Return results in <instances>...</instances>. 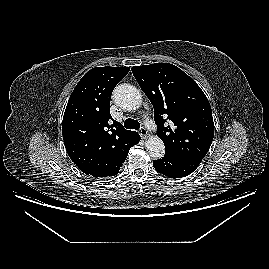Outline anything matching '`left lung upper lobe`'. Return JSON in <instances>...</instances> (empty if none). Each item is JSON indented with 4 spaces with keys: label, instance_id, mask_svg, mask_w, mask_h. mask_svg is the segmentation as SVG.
<instances>
[{
    "label": "left lung upper lobe",
    "instance_id": "left-lung-upper-lobe-1",
    "mask_svg": "<svg viewBox=\"0 0 269 269\" xmlns=\"http://www.w3.org/2000/svg\"><path fill=\"white\" fill-rule=\"evenodd\" d=\"M131 70L153 105L165 155L202 160L213 140L214 122L201 88L169 63L135 66Z\"/></svg>",
    "mask_w": 269,
    "mask_h": 269
}]
</instances>
